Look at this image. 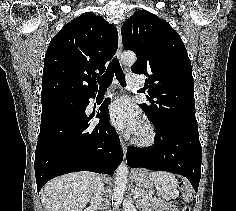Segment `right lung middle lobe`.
Wrapping results in <instances>:
<instances>
[{
	"mask_svg": "<svg viewBox=\"0 0 236 211\" xmlns=\"http://www.w3.org/2000/svg\"><path fill=\"white\" fill-rule=\"evenodd\" d=\"M80 102V99H57L46 104H42V107L45 106H56V105H64V104H73L76 105Z\"/></svg>",
	"mask_w": 236,
	"mask_h": 211,
	"instance_id": "obj_1",
	"label": "right lung middle lobe"
}]
</instances>
